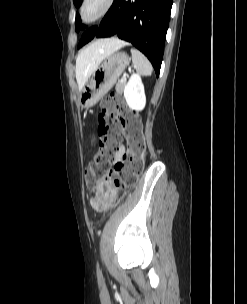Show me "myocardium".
Masks as SVG:
<instances>
[{"label":"myocardium","mask_w":247,"mask_h":304,"mask_svg":"<svg viewBox=\"0 0 247 304\" xmlns=\"http://www.w3.org/2000/svg\"><path fill=\"white\" fill-rule=\"evenodd\" d=\"M114 0H83L79 7V18L83 25H91L111 10Z\"/></svg>","instance_id":"f54148a6"}]
</instances>
